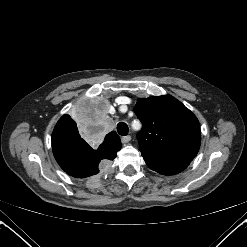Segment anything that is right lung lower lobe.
Listing matches in <instances>:
<instances>
[{
  "label": "right lung lower lobe",
  "instance_id": "obj_1",
  "mask_svg": "<svg viewBox=\"0 0 247 247\" xmlns=\"http://www.w3.org/2000/svg\"><path fill=\"white\" fill-rule=\"evenodd\" d=\"M52 149L60 167L70 176L85 178L99 173L118 151L106 147L92 149L79 134L53 131Z\"/></svg>",
  "mask_w": 247,
  "mask_h": 247
}]
</instances>
